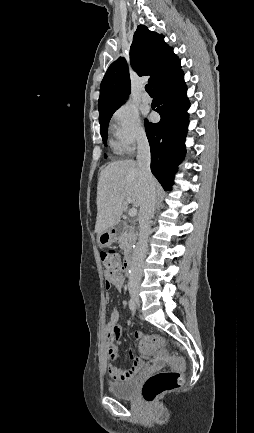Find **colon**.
<instances>
[{"mask_svg": "<svg viewBox=\"0 0 254 433\" xmlns=\"http://www.w3.org/2000/svg\"><path fill=\"white\" fill-rule=\"evenodd\" d=\"M100 258L105 268L107 278L120 279L125 276L124 262L117 251L109 250L101 252ZM161 343L158 337H147L143 340V346H154ZM183 362L173 360L172 367L168 370L160 371L149 377L142 387V397L148 402H154L161 395L179 388L183 378L181 370Z\"/></svg>", "mask_w": 254, "mask_h": 433, "instance_id": "1", "label": "colon"}]
</instances>
